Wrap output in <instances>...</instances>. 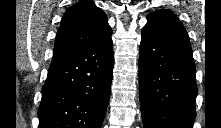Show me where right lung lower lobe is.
Instances as JSON below:
<instances>
[{"label":"right lung lower lobe","mask_w":221,"mask_h":128,"mask_svg":"<svg viewBox=\"0 0 221 128\" xmlns=\"http://www.w3.org/2000/svg\"><path fill=\"white\" fill-rule=\"evenodd\" d=\"M111 37L95 47L54 52L38 109L39 128H101L114 64Z\"/></svg>","instance_id":"98d812e1"}]
</instances>
